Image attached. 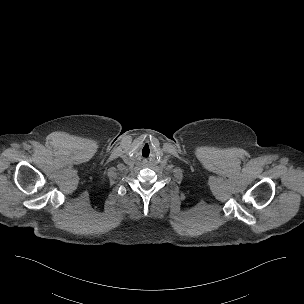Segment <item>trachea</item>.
Instances as JSON below:
<instances>
[{"instance_id":"1","label":"trachea","mask_w":304,"mask_h":304,"mask_svg":"<svg viewBox=\"0 0 304 304\" xmlns=\"http://www.w3.org/2000/svg\"><path fill=\"white\" fill-rule=\"evenodd\" d=\"M152 149L149 145H142L140 147V157L142 159H149L151 157Z\"/></svg>"}]
</instances>
